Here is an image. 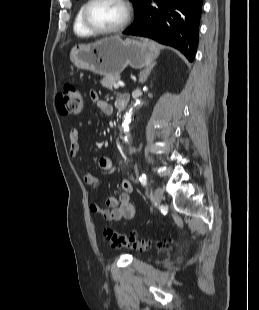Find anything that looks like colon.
<instances>
[{"label":"colon","mask_w":259,"mask_h":310,"mask_svg":"<svg viewBox=\"0 0 259 310\" xmlns=\"http://www.w3.org/2000/svg\"><path fill=\"white\" fill-rule=\"evenodd\" d=\"M59 111L65 115L79 116L84 110L83 92L75 83H67L63 90L56 96ZM103 239L115 248H129L136 251H147L152 248V243L136 234H121L112 229H105ZM170 242L160 241L155 245L158 248L170 246Z\"/></svg>","instance_id":"1"}]
</instances>
